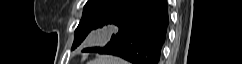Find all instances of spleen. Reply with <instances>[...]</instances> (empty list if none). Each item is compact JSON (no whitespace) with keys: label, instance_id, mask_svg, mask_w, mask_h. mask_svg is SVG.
<instances>
[{"label":"spleen","instance_id":"3e777b00","mask_svg":"<svg viewBox=\"0 0 242 64\" xmlns=\"http://www.w3.org/2000/svg\"><path fill=\"white\" fill-rule=\"evenodd\" d=\"M90 64H129L118 57L103 55L90 62Z\"/></svg>","mask_w":242,"mask_h":64}]
</instances>
